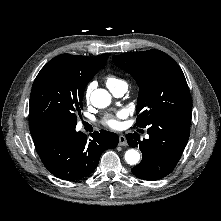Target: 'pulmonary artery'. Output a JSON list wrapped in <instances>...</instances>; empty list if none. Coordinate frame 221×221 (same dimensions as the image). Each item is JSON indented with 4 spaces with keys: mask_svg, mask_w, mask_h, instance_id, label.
Instances as JSON below:
<instances>
[{
    "mask_svg": "<svg viewBox=\"0 0 221 221\" xmlns=\"http://www.w3.org/2000/svg\"><path fill=\"white\" fill-rule=\"evenodd\" d=\"M127 91V85H121L115 89H112L111 92L113 93L114 96L116 97H121L125 94V92Z\"/></svg>",
    "mask_w": 221,
    "mask_h": 221,
    "instance_id": "obj_1",
    "label": "pulmonary artery"
}]
</instances>
